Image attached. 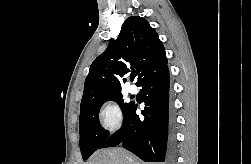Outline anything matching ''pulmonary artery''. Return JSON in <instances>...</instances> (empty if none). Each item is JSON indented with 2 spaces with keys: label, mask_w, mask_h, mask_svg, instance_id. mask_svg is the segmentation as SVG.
I'll use <instances>...</instances> for the list:
<instances>
[{
  "label": "pulmonary artery",
  "mask_w": 251,
  "mask_h": 164,
  "mask_svg": "<svg viewBox=\"0 0 251 164\" xmlns=\"http://www.w3.org/2000/svg\"><path fill=\"white\" fill-rule=\"evenodd\" d=\"M128 91L131 94H136L137 91H138V89H137V87L134 84H131V85L128 86Z\"/></svg>",
  "instance_id": "pulmonary-artery-1"
}]
</instances>
